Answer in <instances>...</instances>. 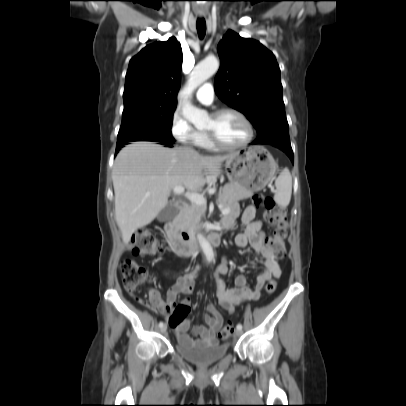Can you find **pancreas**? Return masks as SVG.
Masks as SVG:
<instances>
[{
    "label": "pancreas",
    "mask_w": 406,
    "mask_h": 406,
    "mask_svg": "<svg viewBox=\"0 0 406 406\" xmlns=\"http://www.w3.org/2000/svg\"><path fill=\"white\" fill-rule=\"evenodd\" d=\"M252 195L253 192L238 185L228 184L219 190L217 202L223 208L230 209L236 202L249 198ZM205 212V206L193 202L183 208L178 217L181 229L193 235L197 229L202 227L201 219L205 217Z\"/></svg>",
    "instance_id": "obj_1"
}]
</instances>
